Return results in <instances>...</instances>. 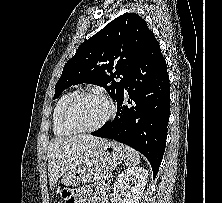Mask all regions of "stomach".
I'll use <instances>...</instances> for the list:
<instances>
[{"instance_id":"obj_1","label":"stomach","mask_w":222,"mask_h":203,"mask_svg":"<svg viewBox=\"0 0 222 203\" xmlns=\"http://www.w3.org/2000/svg\"><path fill=\"white\" fill-rule=\"evenodd\" d=\"M125 157L126 149L124 145L115 141L104 142L92 151L87 160L69 169L62 182L65 186L76 187L86 181L94 164L99 161H120Z\"/></svg>"}]
</instances>
